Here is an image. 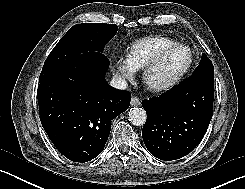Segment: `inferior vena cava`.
<instances>
[{
  "instance_id": "1",
  "label": "inferior vena cava",
  "mask_w": 245,
  "mask_h": 189,
  "mask_svg": "<svg viewBox=\"0 0 245 189\" xmlns=\"http://www.w3.org/2000/svg\"><path fill=\"white\" fill-rule=\"evenodd\" d=\"M110 85L116 89H126L128 87V83L125 79L121 78L120 76H115L110 82Z\"/></svg>"
}]
</instances>
